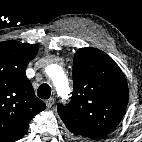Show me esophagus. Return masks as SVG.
I'll return each instance as SVG.
<instances>
[{
    "instance_id": "1",
    "label": "esophagus",
    "mask_w": 142,
    "mask_h": 142,
    "mask_svg": "<svg viewBox=\"0 0 142 142\" xmlns=\"http://www.w3.org/2000/svg\"><path fill=\"white\" fill-rule=\"evenodd\" d=\"M45 103H46V107L48 109H50L53 106V104H54V98H49L48 100H46Z\"/></svg>"
}]
</instances>
